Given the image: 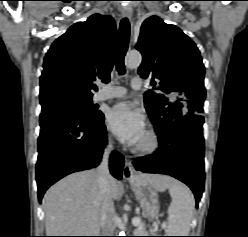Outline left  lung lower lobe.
I'll use <instances>...</instances> for the list:
<instances>
[{
  "instance_id": "1",
  "label": "left lung lower lobe",
  "mask_w": 248,
  "mask_h": 237,
  "mask_svg": "<svg viewBox=\"0 0 248 237\" xmlns=\"http://www.w3.org/2000/svg\"><path fill=\"white\" fill-rule=\"evenodd\" d=\"M200 115L186 114L175 119L158 137L160 148L152 155L136 159L138 171L173 176L193 191L196 206L204 190V138Z\"/></svg>"
}]
</instances>
